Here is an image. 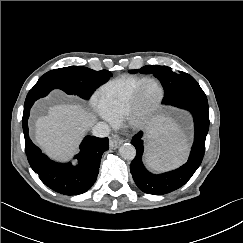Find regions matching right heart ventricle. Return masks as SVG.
Masks as SVG:
<instances>
[{
    "mask_svg": "<svg viewBox=\"0 0 243 243\" xmlns=\"http://www.w3.org/2000/svg\"><path fill=\"white\" fill-rule=\"evenodd\" d=\"M146 79L138 75H122L110 80L95 94L94 105L110 120L118 121L129 98Z\"/></svg>",
    "mask_w": 243,
    "mask_h": 243,
    "instance_id": "obj_1",
    "label": "right heart ventricle"
}]
</instances>
